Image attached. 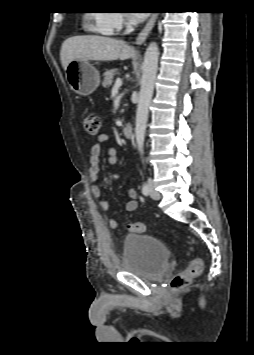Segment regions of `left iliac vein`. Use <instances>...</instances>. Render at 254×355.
Instances as JSON below:
<instances>
[{
	"mask_svg": "<svg viewBox=\"0 0 254 355\" xmlns=\"http://www.w3.org/2000/svg\"><path fill=\"white\" fill-rule=\"evenodd\" d=\"M148 186H149L150 197L154 200H159L161 198V195L158 191L155 190L152 180L148 181Z\"/></svg>",
	"mask_w": 254,
	"mask_h": 355,
	"instance_id": "1",
	"label": "left iliac vein"
}]
</instances>
